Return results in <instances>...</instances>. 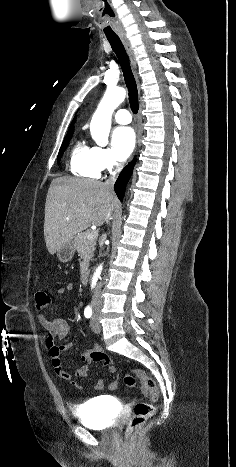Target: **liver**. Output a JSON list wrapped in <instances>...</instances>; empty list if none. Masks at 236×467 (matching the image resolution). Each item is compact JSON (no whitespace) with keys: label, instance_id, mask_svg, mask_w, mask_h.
Instances as JSON below:
<instances>
[{"label":"liver","instance_id":"6515ba94","mask_svg":"<svg viewBox=\"0 0 236 467\" xmlns=\"http://www.w3.org/2000/svg\"><path fill=\"white\" fill-rule=\"evenodd\" d=\"M116 200L105 183L59 177L49 187L45 203L44 236L53 255L91 225L101 226L111 219Z\"/></svg>","mask_w":236,"mask_h":467}]
</instances>
